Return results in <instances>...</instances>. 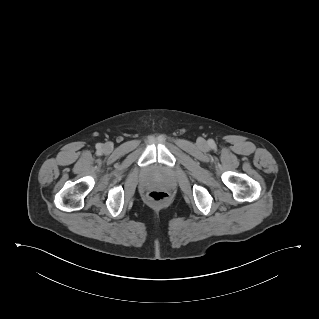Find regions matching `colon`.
<instances>
[{
	"instance_id": "1",
	"label": "colon",
	"mask_w": 319,
	"mask_h": 319,
	"mask_svg": "<svg viewBox=\"0 0 319 319\" xmlns=\"http://www.w3.org/2000/svg\"><path fill=\"white\" fill-rule=\"evenodd\" d=\"M148 197L153 202H164L168 198V194L163 190H152L149 192Z\"/></svg>"
}]
</instances>
